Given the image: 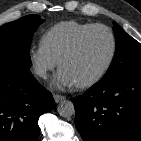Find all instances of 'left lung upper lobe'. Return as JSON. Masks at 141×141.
<instances>
[{"label": "left lung upper lobe", "mask_w": 141, "mask_h": 141, "mask_svg": "<svg viewBox=\"0 0 141 141\" xmlns=\"http://www.w3.org/2000/svg\"><path fill=\"white\" fill-rule=\"evenodd\" d=\"M116 51L113 61L102 79H108L129 70L141 69V44L113 22Z\"/></svg>", "instance_id": "1"}]
</instances>
